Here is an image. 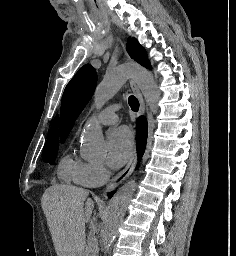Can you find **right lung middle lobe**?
Segmentation results:
<instances>
[{
    "label": "right lung middle lobe",
    "instance_id": "1",
    "mask_svg": "<svg viewBox=\"0 0 236 256\" xmlns=\"http://www.w3.org/2000/svg\"><path fill=\"white\" fill-rule=\"evenodd\" d=\"M59 142H46L43 149V160L46 163L53 164L57 155Z\"/></svg>",
    "mask_w": 236,
    "mask_h": 256
}]
</instances>
